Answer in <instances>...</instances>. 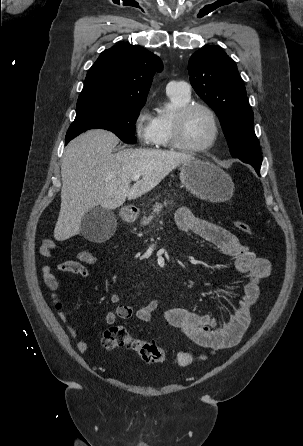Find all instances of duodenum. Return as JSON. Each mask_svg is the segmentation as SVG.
<instances>
[{
  "label": "duodenum",
  "instance_id": "410a0bca",
  "mask_svg": "<svg viewBox=\"0 0 303 446\" xmlns=\"http://www.w3.org/2000/svg\"><path fill=\"white\" fill-rule=\"evenodd\" d=\"M125 216H126L127 218H130V217H132V214H131L129 211H127V212L125 213Z\"/></svg>",
  "mask_w": 303,
  "mask_h": 446
}]
</instances>
